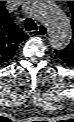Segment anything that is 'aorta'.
I'll list each match as a JSON object with an SVG mask.
<instances>
[{
  "label": "aorta",
  "mask_w": 74,
  "mask_h": 122,
  "mask_svg": "<svg viewBox=\"0 0 74 122\" xmlns=\"http://www.w3.org/2000/svg\"><path fill=\"white\" fill-rule=\"evenodd\" d=\"M23 9L48 28L49 45L56 50L66 48L72 38L71 24L54 1H24Z\"/></svg>",
  "instance_id": "obj_1"
}]
</instances>
